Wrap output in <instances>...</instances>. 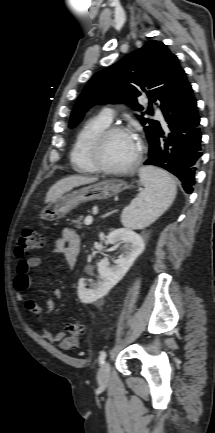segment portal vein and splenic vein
<instances>
[{"label": "portal vein and splenic vein", "instance_id": "1", "mask_svg": "<svg viewBox=\"0 0 215 433\" xmlns=\"http://www.w3.org/2000/svg\"><path fill=\"white\" fill-rule=\"evenodd\" d=\"M93 222V217L92 216H87L84 220L85 225H90Z\"/></svg>", "mask_w": 215, "mask_h": 433}]
</instances>
